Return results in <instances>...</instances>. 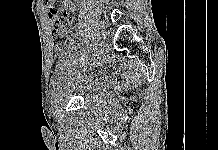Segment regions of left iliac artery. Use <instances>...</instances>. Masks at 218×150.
<instances>
[{
    "label": "left iliac artery",
    "instance_id": "44dca946",
    "mask_svg": "<svg viewBox=\"0 0 218 150\" xmlns=\"http://www.w3.org/2000/svg\"><path fill=\"white\" fill-rule=\"evenodd\" d=\"M94 36H95V42L93 43L95 46L93 47V53H92V57H90V59L92 60L90 63L86 62L85 65H81L80 67H77V69H74L72 72L74 74H78L82 71H87V68H90V65L93 64V63H96V58H97V52H98V49H100V35H99V32L95 31L94 33ZM97 45V46H96Z\"/></svg>",
    "mask_w": 218,
    "mask_h": 150
}]
</instances>
